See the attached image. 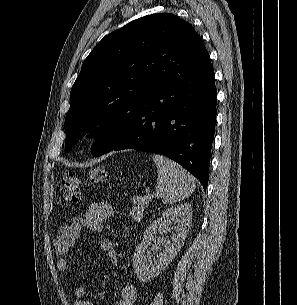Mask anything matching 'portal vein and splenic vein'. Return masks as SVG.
<instances>
[{
  "label": "portal vein and splenic vein",
  "instance_id": "1",
  "mask_svg": "<svg viewBox=\"0 0 297 305\" xmlns=\"http://www.w3.org/2000/svg\"><path fill=\"white\" fill-rule=\"evenodd\" d=\"M158 196V195H156ZM154 196L152 194H149V193H146V196H145V201L148 202L150 201Z\"/></svg>",
  "mask_w": 297,
  "mask_h": 305
}]
</instances>
